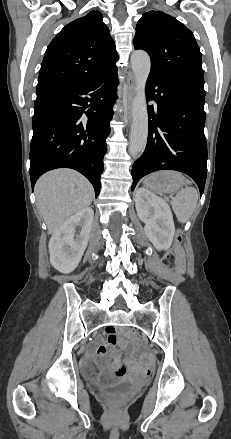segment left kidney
Returning <instances> with one entry per match:
<instances>
[{"mask_svg":"<svg viewBox=\"0 0 231 439\" xmlns=\"http://www.w3.org/2000/svg\"><path fill=\"white\" fill-rule=\"evenodd\" d=\"M135 205L139 219L145 223L144 232L153 246L168 250L173 241L175 226L168 204L145 188L136 191Z\"/></svg>","mask_w":231,"mask_h":439,"instance_id":"5707ae66","label":"left kidney"}]
</instances>
